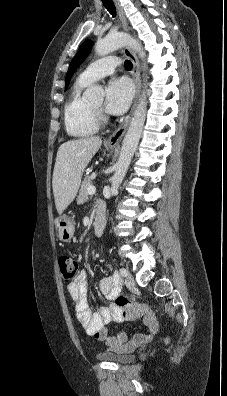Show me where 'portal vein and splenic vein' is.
Listing matches in <instances>:
<instances>
[{"label":"portal vein and splenic vein","instance_id":"portal-vein-and-splenic-vein-1","mask_svg":"<svg viewBox=\"0 0 227 396\" xmlns=\"http://www.w3.org/2000/svg\"><path fill=\"white\" fill-rule=\"evenodd\" d=\"M88 194L92 195L95 194L96 188L94 186H89L87 189Z\"/></svg>","mask_w":227,"mask_h":396}]
</instances>
